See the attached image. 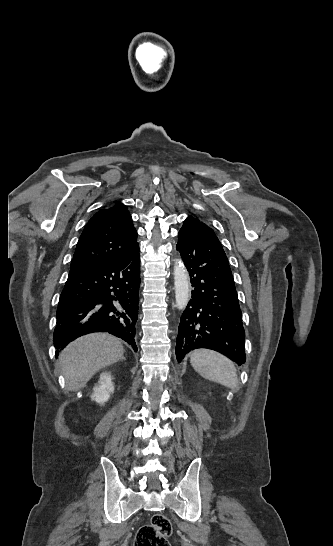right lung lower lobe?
<instances>
[{"label": "right lung lower lobe", "mask_w": 333, "mask_h": 546, "mask_svg": "<svg viewBox=\"0 0 333 546\" xmlns=\"http://www.w3.org/2000/svg\"><path fill=\"white\" fill-rule=\"evenodd\" d=\"M139 275V245L110 262L71 268L57 308L53 336L56 354L71 341L92 332L115 335L137 351L134 336Z\"/></svg>", "instance_id": "right-lung-lower-lobe-1"}]
</instances>
